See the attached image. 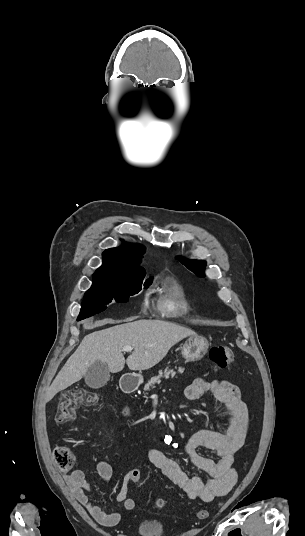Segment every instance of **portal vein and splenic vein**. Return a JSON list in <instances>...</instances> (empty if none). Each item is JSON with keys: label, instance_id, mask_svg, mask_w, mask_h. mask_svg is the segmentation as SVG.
I'll use <instances>...</instances> for the list:
<instances>
[{"label": "portal vein and splenic vein", "instance_id": "18ae733b", "mask_svg": "<svg viewBox=\"0 0 305 536\" xmlns=\"http://www.w3.org/2000/svg\"><path fill=\"white\" fill-rule=\"evenodd\" d=\"M132 350H133L132 346H124L121 352H132Z\"/></svg>", "mask_w": 305, "mask_h": 536}]
</instances>
